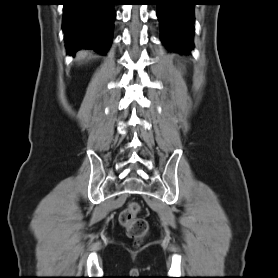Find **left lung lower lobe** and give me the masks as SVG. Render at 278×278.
<instances>
[{"label":"left lung lower lobe","mask_w":278,"mask_h":278,"mask_svg":"<svg viewBox=\"0 0 278 278\" xmlns=\"http://www.w3.org/2000/svg\"><path fill=\"white\" fill-rule=\"evenodd\" d=\"M156 5L163 43L172 51L191 52L196 0H156Z\"/></svg>","instance_id":"0a47b994"}]
</instances>
